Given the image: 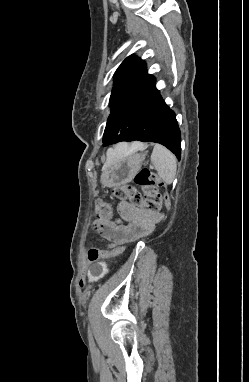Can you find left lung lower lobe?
I'll return each mask as SVG.
<instances>
[{
	"label": "left lung lower lobe",
	"instance_id": "1",
	"mask_svg": "<svg viewBox=\"0 0 249 382\" xmlns=\"http://www.w3.org/2000/svg\"><path fill=\"white\" fill-rule=\"evenodd\" d=\"M155 142L166 146L181 158V135L175 113L166 105L160 93L136 123L120 133L111 144L121 141Z\"/></svg>",
	"mask_w": 249,
	"mask_h": 382
}]
</instances>
